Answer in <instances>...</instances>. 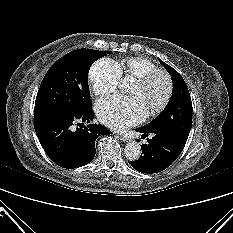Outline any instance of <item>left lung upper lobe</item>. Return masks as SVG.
Here are the masks:
<instances>
[{"label": "left lung upper lobe", "instance_id": "left-lung-upper-lobe-1", "mask_svg": "<svg viewBox=\"0 0 233 233\" xmlns=\"http://www.w3.org/2000/svg\"><path fill=\"white\" fill-rule=\"evenodd\" d=\"M159 61L171 75L172 97L165 110L153 122L141 128H163L171 131L179 139L187 141L192 125V101L187 85L174 68L160 59Z\"/></svg>", "mask_w": 233, "mask_h": 233}]
</instances>
